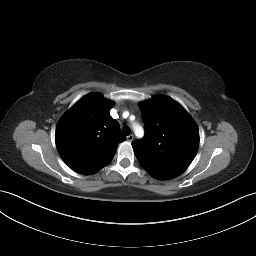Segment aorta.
Segmentation results:
<instances>
[{"label":"aorta","instance_id":"obj_1","mask_svg":"<svg viewBox=\"0 0 256 256\" xmlns=\"http://www.w3.org/2000/svg\"><path fill=\"white\" fill-rule=\"evenodd\" d=\"M134 130H135V133L137 134L138 132H143V129L141 126L135 124L134 125Z\"/></svg>","mask_w":256,"mask_h":256}]
</instances>
